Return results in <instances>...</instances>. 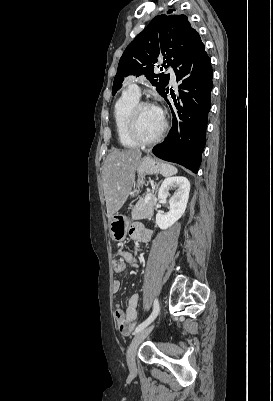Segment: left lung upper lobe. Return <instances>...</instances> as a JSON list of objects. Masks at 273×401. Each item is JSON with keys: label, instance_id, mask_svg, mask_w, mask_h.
Masks as SVG:
<instances>
[{"label": "left lung upper lobe", "instance_id": "left-lung-upper-lobe-1", "mask_svg": "<svg viewBox=\"0 0 273 401\" xmlns=\"http://www.w3.org/2000/svg\"><path fill=\"white\" fill-rule=\"evenodd\" d=\"M199 40L200 36L190 26L187 16L172 11L156 16L127 46L121 56L113 82V95L121 88L124 78L131 74H144L158 93L163 95L169 82V74L163 76L154 73L157 57L164 56V68L172 66Z\"/></svg>", "mask_w": 273, "mask_h": 401}]
</instances>
